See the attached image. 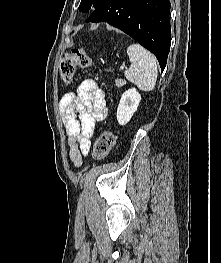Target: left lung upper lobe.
<instances>
[{
    "mask_svg": "<svg viewBox=\"0 0 221 263\" xmlns=\"http://www.w3.org/2000/svg\"><path fill=\"white\" fill-rule=\"evenodd\" d=\"M104 0H81L79 5V10L82 12H87L91 7L97 8L99 7Z\"/></svg>",
    "mask_w": 221,
    "mask_h": 263,
    "instance_id": "1",
    "label": "left lung upper lobe"
}]
</instances>
